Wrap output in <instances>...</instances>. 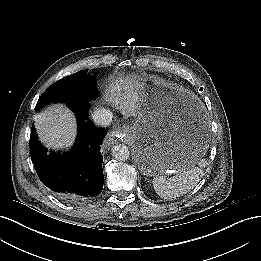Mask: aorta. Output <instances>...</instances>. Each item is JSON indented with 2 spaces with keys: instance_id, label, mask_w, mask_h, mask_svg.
I'll return each mask as SVG.
<instances>
[{
  "instance_id": "obj_1",
  "label": "aorta",
  "mask_w": 261,
  "mask_h": 261,
  "mask_svg": "<svg viewBox=\"0 0 261 261\" xmlns=\"http://www.w3.org/2000/svg\"><path fill=\"white\" fill-rule=\"evenodd\" d=\"M112 155L118 161H126L129 159V148L124 144H118L112 148Z\"/></svg>"
}]
</instances>
